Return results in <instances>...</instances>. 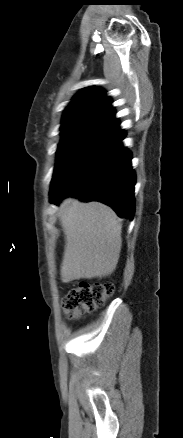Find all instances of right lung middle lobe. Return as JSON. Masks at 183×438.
Wrapping results in <instances>:
<instances>
[{
    "instance_id": "dd1d6c3e",
    "label": "right lung middle lobe",
    "mask_w": 183,
    "mask_h": 438,
    "mask_svg": "<svg viewBox=\"0 0 183 438\" xmlns=\"http://www.w3.org/2000/svg\"><path fill=\"white\" fill-rule=\"evenodd\" d=\"M98 130L80 128L63 131L57 151V161L52 181L61 173L76 154L93 138Z\"/></svg>"
}]
</instances>
